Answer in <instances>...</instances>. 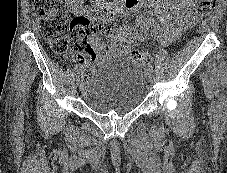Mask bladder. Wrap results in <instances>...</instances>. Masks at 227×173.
Masks as SVG:
<instances>
[{
  "mask_svg": "<svg viewBox=\"0 0 227 173\" xmlns=\"http://www.w3.org/2000/svg\"><path fill=\"white\" fill-rule=\"evenodd\" d=\"M143 97L142 69L128 58L104 62L89 76L82 92L84 103L103 115L129 113L139 106Z\"/></svg>",
  "mask_w": 227,
  "mask_h": 173,
  "instance_id": "bladder-1",
  "label": "bladder"
}]
</instances>
